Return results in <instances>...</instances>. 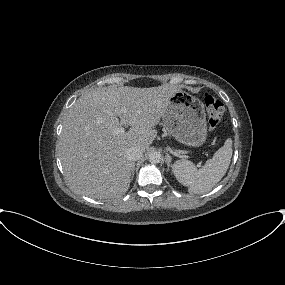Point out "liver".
<instances>
[{
    "label": "liver",
    "instance_id": "6515ba94",
    "mask_svg": "<svg viewBox=\"0 0 285 285\" xmlns=\"http://www.w3.org/2000/svg\"><path fill=\"white\" fill-rule=\"evenodd\" d=\"M179 87L164 84L137 88L121 86L88 91L68 110L59 140V157L68 182L94 199L123 196L131 182L133 162L126 151H145L157 135L170 98ZM125 109L119 115L116 111ZM129 125L124 133L116 129Z\"/></svg>",
    "mask_w": 285,
    "mask_h": 285
}]
</instances>
